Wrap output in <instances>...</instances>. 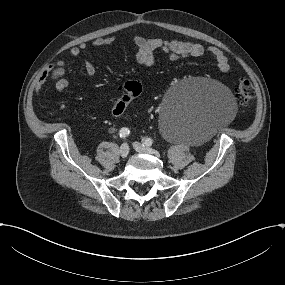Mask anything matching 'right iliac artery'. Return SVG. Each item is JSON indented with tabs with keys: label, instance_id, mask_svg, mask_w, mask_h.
Segmentation results:
<instances>
[{
	"label": "right iliac artery",
	"instance_id": "82829eb1",
	"mask_svg": "<svg viewBox=\"0 0 285 285\" xmlns=\"http://www.w3.org/2000/svg\"><path fill=\"white\" fill-rule=\"evenodd\" d=\"M130 134V130L128 128H121L119 132V136L121 138H126Z\"/></svg>",
	"mask_w": 285,
	"mask_h": 285
}]
</instances>
